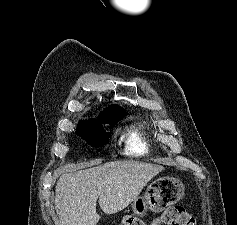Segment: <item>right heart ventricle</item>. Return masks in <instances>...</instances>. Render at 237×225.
Instances as JSON below:
<instances>
[{"label": "right heart ventricle", "mask_w": 237, "mask_h": 225, "mask_svg": "<svg viewBox=\"0 0 237 225\" xmlns=\"http://www.w3.org/2000/svg\"><path fill=\"white\" fill-rule=\"evenodd\" d=\"M127 151L131 154H143L147 151V144L139 132L129 134L127 140Z\"/></svg>", "instance_id": "obj_1"}]
</instances>
